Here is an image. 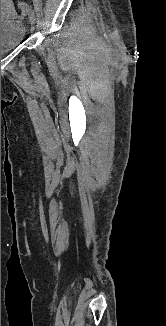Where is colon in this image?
<instances>
[{
    "instance_id": "colon-1",
    "label": "colon",
    "mask_w": 166,
    "mask_h": 326,
    "mask_svg": "<svg viewBox=\"0 0 166 326\" xmlns=\"http://www.w3.org/2000/svg\"><path fill=\"white\" fill-rule=\"evenodd\" d=\"M18 7H19L20 9H25L26 4H25L24 2H19V3H18Z\"/></svg>"
}]
</instances>
